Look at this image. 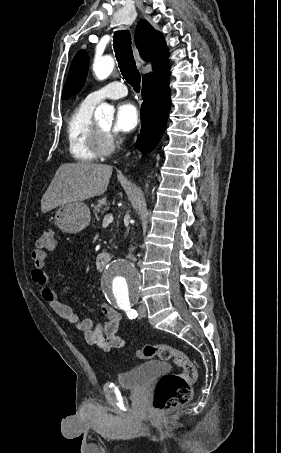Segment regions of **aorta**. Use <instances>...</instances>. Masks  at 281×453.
Wrapping results in <instances>:
<instances>
[{
	"mask_svg": "<svg viewBox=\"0 0 281 453\" xmlns=\"http://www.w3.org/2000/svg\"><path fill=\"white\" fill-rule=\"evenodd\" d=\"M111 56L97 58L93 71L99 80L106 79L114 69ZM114 108L109 104H100L94 113L98 121H111ZM101 290L105 299L113 305L123 307L137 300L141 290V277L136 268L123 261H113L106 266L101 277Z\"/></svg>",
	"mask_w": 281,
	"mask_h": 453,
	"instance_id": "aorta-1",
	"label": "aorta"
}]
</instances>
